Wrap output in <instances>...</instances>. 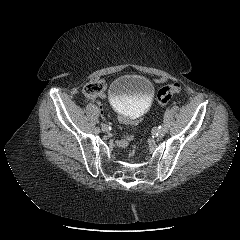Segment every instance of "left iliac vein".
I'll return each mask as SVG.
<instances>
[{
    "label": "left iliac vein",
    "mask_w": 240,
    "mask_h": 240,
    "mask_svg": "<svg viewBox=\"0 0 240 240\" xmlns=\"http://www.w3.org/2000/svg\"><path fill=\"white\" fill-rule=\"evenodd\" d=\"M167 131H168V127L165 130L161 128L159 130V132H158L159 133V137H164L166 135Z\"/></svg>",
    "instance_id": "4c4485c4"
}]
</instances>
